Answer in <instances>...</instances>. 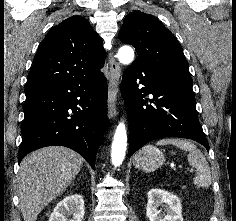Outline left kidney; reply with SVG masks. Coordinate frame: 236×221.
I'll return each mask as SVG.
<instances>
[{
    "mask_svg": "<svg viewBox=\"0 0 236 221\" xmlns=\"http://www.w3.org/2000/svg\"><path fill=\"white\" fill-rule=\"evenodd\" d=\"M161 205L164 212L158 209ZM146 216L150 221H183L180 199L165 190L153 188L148 192Z\"/></svg>",
    "mask_w": 236,
    "mask_h": 221,
    "instance_id": "5707ae66",
    "label": "left kidney"
}]
</instances>
